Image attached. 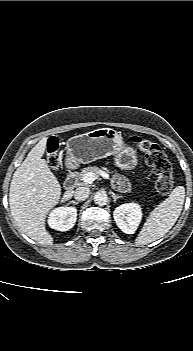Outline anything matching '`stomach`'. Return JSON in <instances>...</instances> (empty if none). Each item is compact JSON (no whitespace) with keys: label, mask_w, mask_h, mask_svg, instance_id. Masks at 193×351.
Returning <instances> with one entry per match:
<instances>
[{"label":"stomach","mask_w":193,"mask_h":351,"mask_svg":"<svg viewBox=\"0 0 193 351\" xmlns=\"http://www.w3.org/2000/svg\"><path fill=\"white\" fill-rule=\"evenodd\" d=\"M67 154L70 166L88 164L111 155L115 166L121 170H133L138 165L136 150L126 145L121 134L111 128H100L70 138Z\"/></svg>","instance_id":"obj_1"}]
</instances>
